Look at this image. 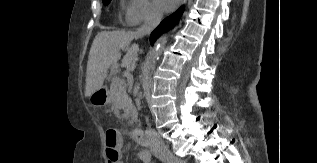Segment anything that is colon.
Returning a JSON list of instances; mask_svg holds the SVG:
<instances>
[{
    "mask_svg": "<svg viewBox=\"0 0 317 163\" xmlns=\"http://www.w3.org/2000/svg\"><path fill=\"white\" fill-rule=\"evenodd\" d=\"M119 134L117 130L108 128L105 132L106 155L109 163H116L119 159Z\"/></svg>",
    "mask_w": 317,
    "mask_h": 163,
    "instance_id": "obj_1",
    "label": "colon"
}]
</instances>
